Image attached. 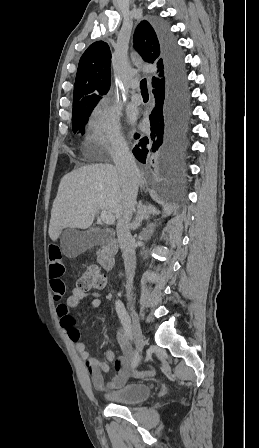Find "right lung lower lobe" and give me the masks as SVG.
<instances>
[{
	"label": "right lung lower lobe",
	"mask_w": 259,
	"mask_h": 448,
	"mask_svg": "<svg viewBox=\"0 0 259 448\" xmlns=\"http://www.w3.org/2000/svg\"><path fill=\"white\" fill-rule=\"evenodd\" d=\"M155 29L161 45L165 84L152 91L155 107L149 116L151 134L141 138L135 133L134 138L139 143L132 152L144 164L150 161L152 154H156L163 166L164 175L176 179L185 173L190 155L189 81L182 53L169 26L156 22Z\"/></svg>",
	"instance_id": "right-lung-lower-lobe-1"
}]
</instances>
